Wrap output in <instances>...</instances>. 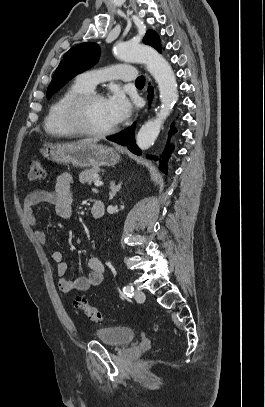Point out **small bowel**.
Returning a JSON list of instances; mask_svg holds the SVG:
<instances>
[{
  "mask_svg": "<svg viewBox=\"0 0 265 407\" xmlns=\"http://www.w3.org/2000/svg\"><path fill=\"white\" fill-rule=\"evenodd\" d=\"M73 177L69 173H62L57 177L55 189L53 191L36 189L30 192L24 199L23 214L28 224L35 229L37 240L46 244L48 241L46 233L37 228V218L33 212V207L39 203L47 202L55 206V212L62 219H69L72 215V194L71 186ZM56 263V271L59 276L58 286L63 293L75 291H85L90 287L101 284L104 276L103 262L95 257L88 260L89 274L76 279L66 278L68 264L64 260L60 251H54L51 255Z\"/></svg>",
  "mask_w": 265,
  "mask_h": 407,
  "instance_id": "small-bowel-1",
  "label": "small bowel"
}]
</instances>
